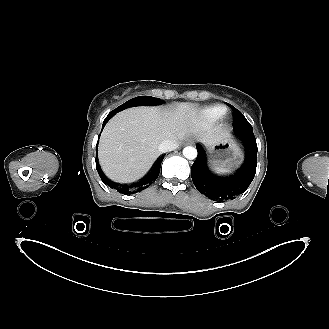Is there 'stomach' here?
<instances>
[{
	"mask_svg": "<svg viewBox=\"0 0 329 329\" xmlns=\"http://www.w3.org/2000/svg\"><path fill=\"white\" fill-rule=\"evenodd\" d=\"M211 163L217 170H230L242 161V152L232 139L207 145Z\"/></svg>",
	"mask_w": 329,
	"mask_h": 329,
	"instance_id": "stomach-1",
	"label": "stomach"
}]
</instances>
